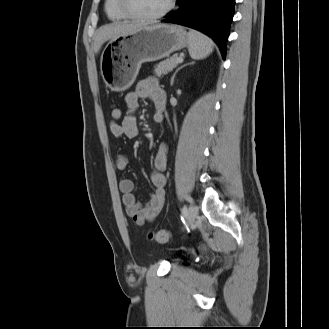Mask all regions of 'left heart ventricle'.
<instances>
[{
    "label": "left heart ventricle",
    "mask_w": 329,
    "mask_h": 329,
    "mask_svg": "<svg viewBox=\"0 0 329 329\" xmlns=\"http://www.w3.org/2000/svg\"><path fill=\"white\" fill-rule=\"evenodd\" d=\"M168 0H128L130 9L144 16H151L162 11Z\"/></svg>",
    "instance_id": "obj_1"
}]
</instances>
